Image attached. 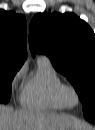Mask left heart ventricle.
<instances>
[{
  "label": "left heart ventricle",
  "instance_id": "b2bd125f",
  "mask_svg": "<svg viewBox=\"0 0 95 130\" xmlns=\"http://www.w3.org/2000/svg\"><path fill=\"white\" fill-rule=\"evenodd\" d=\"M67 101L71 105H75L77 102L76 95L72 91H68L66 95Z\"/></svg>",
  "mask_w": 95,
  "mask_h": 130
}]
</instances>
